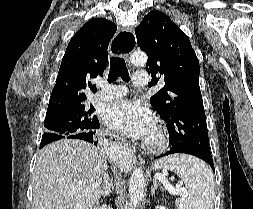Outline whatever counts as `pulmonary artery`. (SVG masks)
I'll return each mask as SVG.
<instances>
[{
	"label": "pulmonary artery",
	"instance_id": "obj_1",
	"mask_svg": "<svg viewBox=\"0 0 253 209\" xmlns=\"http://www.w3.org/2000/svg\"><path fill=\"white\" fill-rule=\"evenodd\" d=\"M148 83V75L146 71H137L133 77V84L136 87H143ZM126 94V88L122 85L102 84L101 90L95 95L96 100H112L117 99Z\"/></svg>",
	"mask_w": 253,
	"mask_h": 209
}]
</instances>
